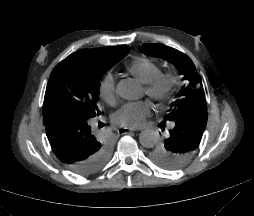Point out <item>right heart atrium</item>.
Returning a JSON list of instances; mask_svg holds the SVG:
<instances>
[{
  "instance_id": "1",
  "label": "right heart atrium",
  "mask_w": 254,
  "mask_h": 216,
  "mask_svg": "<svg viewBox=\"0 0 254 216\" xmlns=\"http://www.w3.org/2000/svg\"><path fill=\"white\" fill-rule=\"evenodd\" d=\"M100 94L109 103H113L115 101V85L110 76H106L101 82Z\"/></svg>"
}]
</instances>
